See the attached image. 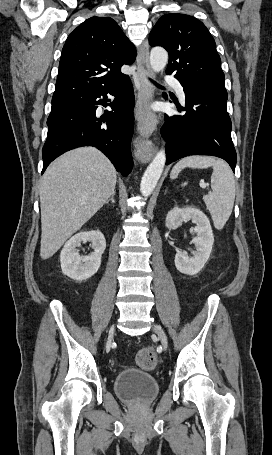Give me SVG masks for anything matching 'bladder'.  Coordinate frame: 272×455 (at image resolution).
<instances>
[{"instance_id":"bladder-1","label":"bladder","mask_w":272,"mask_h":455,"mask_svg":"<svg viewBox=\"0 0 272 455\" xmlns=\"http://www.w3.org/2000/svg\"><path fill=\"white\" fill-rule=\"evenodd\" d=\"M113 386L116 395L129 404H148L159 393L156 379L151 374L136 369H127L118 373Z\"/></svg>"}]
</instances>
